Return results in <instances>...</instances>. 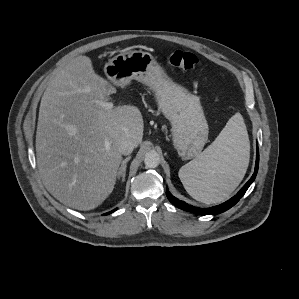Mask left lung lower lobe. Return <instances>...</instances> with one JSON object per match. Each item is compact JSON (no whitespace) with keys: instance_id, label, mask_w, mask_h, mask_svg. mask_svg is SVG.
Instances as JSON below:
<instances>
[{"instance_id":"obj_1","label":"left lung lower lobe","mask_w":299,"mask_h":299,"mask_svg":"<svg viewBox=\"0 0 299 299\" xmlns=\"http://www.w3.org/2000/svg\"><path fill=\"white\" fill-rule=\"evenodd\" d=\"M258 166H259V150L257 148L255 171H254V174L252 175V177L250 178V180L243 186V188L237 193V195H235L228 201H226L220 205L214 206V207H210V208L194 207V206L189 205L181 200H178L177 198L172 196L168 190L166 191V195H167L169 201L173 205H175L176 207L183 209L185 211H188V212H191L194 214H198V215L219 214V213H222V212L230 209L231 207H233L239 201V199L242 198V196L245 194V192L247 191L249 186L254 181L257 171H258Z\"/></svg>"}]
</instances>
